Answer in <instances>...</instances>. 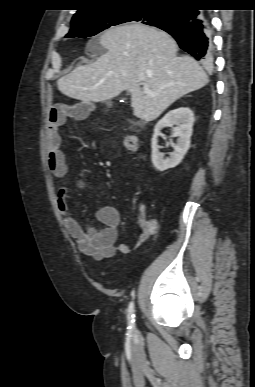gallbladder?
Returning <instances> with one entry per match:
<instances>
[{"instance_id": "bac80fb5", "label": "gallbladder", "mask_w": 255, "mask_h": 387, "mask_svg": "<svg viewBox=\"0 0 255 387\" xmlns=\"http://www.w3.org/2000/svg\"><path fill=\"white\" fill-rule=\"evenodd\" d=\"M106 103H107V104H110V101H107Z\"/></svg>"}]
</instances>
